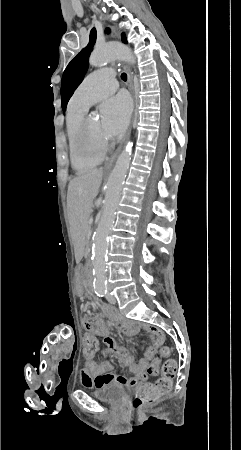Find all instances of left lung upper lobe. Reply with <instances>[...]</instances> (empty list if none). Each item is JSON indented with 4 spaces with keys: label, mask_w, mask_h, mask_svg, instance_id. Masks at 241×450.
Listing matches in <instances>:
<instances>
[{
    "label": "left lung upper lobe",
    "mask_w": 241,
    "mask_h": 450,
    "mask_svg": "<svg viewBox=\"0 0 241 450\" xmlns=\"http://www.w3.org/2000/svg\"><path fill=\"white\" fill-rule=\"evenodd\" d=\"M107 32H109V29H107ZM96 34V29L93 28L90 32V39L87 47L72 59L63 73L61 83V105L64 112L69 99L74 93V90H76V88L83 81L85 72L88 69V59L96 42ZM122 41L127 43L124 33H122Z\"/></svg>",
    "instance_id": "obj_1"
}]
</instances>
